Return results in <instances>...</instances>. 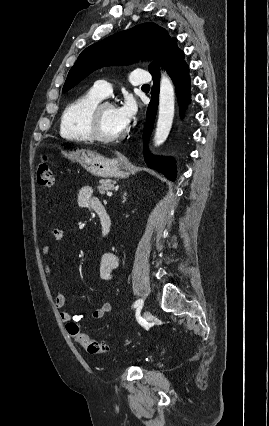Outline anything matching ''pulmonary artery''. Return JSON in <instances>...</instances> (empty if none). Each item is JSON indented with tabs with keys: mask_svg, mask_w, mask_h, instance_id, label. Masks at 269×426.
<instances>
[{
	"mask_svg": "<svg viewBox=\"0 0 269 426\" xmlns=\"http://www.w3.org/2000/svg\"><path fill=\"white\" fill-rule=\"evenodd\" d=\"M150 81V75L148 71L144 69H135L130 74V82L132 85H146ZM92 90L104 98L109 95L111 91L110 84L107 81L100 80L97 81Z\"/></svg>",
	"mask_w": 269,
	"mask_h": 426,
	"instance_id": "obj_1",
	"label": "pulmonary artery"
}]
</instances>
